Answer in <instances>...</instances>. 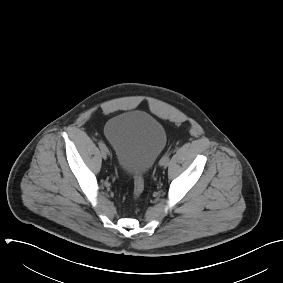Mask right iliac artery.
<instances>
[{"mask_svg": "<svg viewBox=\"0 0 283 283\" xmlns=\"http://www.w3.org/2000/svg\"><path fill=\"white\" fill-rule=\"evenodd\" d=\"M98 144H99V147H100L101 150L108 152L106 145L102 141H99Z\"/></svg>", "mask_w": 283, "mask_h": 283, "instance_id": "obj_1", "label": "right iliac artery"}]
</instances>
